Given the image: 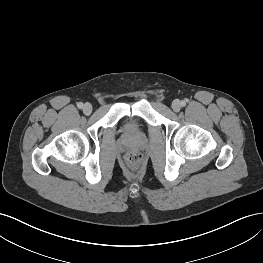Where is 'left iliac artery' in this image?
<instances>
[{
	"label": "left iliac artery",
	"instance_id": "left-iliac-artery-1",
	"mask_svg": "<svg viewBox=\"0 0 263 263\" xmlns=\"http://www.w3.org/2000/svg\"><path fill=\"white\" fill-rule=\"evenodd\" d=\"M186 102H187V100L182 101V102H181V105H182V106H185V105H186Z\"/></svg>",
	"mask_w": 263,
	"mask_h": 263
}]
</instances>
